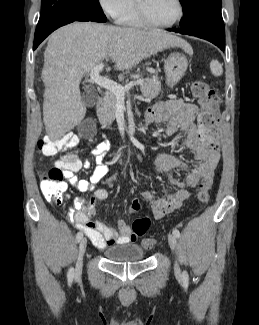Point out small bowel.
<instances>
[{
	"mask_svg": "<svg viewBox=\"0 0 259 325\" xmlns=\"http://www.w3.org/2000/svg\"><path fill=\"white\" fill-rule=\"evenodd\" d=\"M207 114L206 109L201 110L196 104L182 98L155 103L145 112V116L150 119L151 123L164 125L166 134L171 135L180 130L183 133L184 145L200 161L186 178L181 180L174 176V171L186 168L182 159L166 153H159L155 157L154 170L165 175L170 185L178 188L176 192H169L165 197H159L148 190L141 192V197L150 203L156 219H161L180 208L183 202L191 197V190L195 189L202 179L213 175L220 157L218 131L205 128L202 121ZM109 148L110 145L106 141L98 143L93 148L92 155L95 157L96 167L89 179H80L76 172L81 168H90V162H82L75 154H66L56 161V166L63 169L64 177L69 184L80 192H92L90 205H85L80 197L73 199L75 211H72L70 216L76 227L82 230L99 249L114 244L133 243L138 238V235L122 220L118 221V230H116L90 218L94 203L104 201L109 196L105 188L95 189L96 185L101 183L108 174L105 156Z\"/></svg>",
	"mask_w": 259,
	"mask_h": 325,
	"instance_id": "obj_1",
	"label": "small bowel"
}]
</instances>
